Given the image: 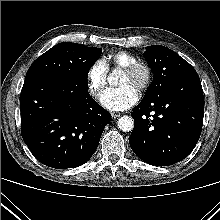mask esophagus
Listing matches in <instances>:
<instances>
[{
  "label": "esophagus",
  "mask_w": 220,
  "mask_h": 220,
  "mask_svg": "<svg viewBox=\"0 0 220 220\" xmlns=\"http://www.w3.org/2000/svg\"><path fill=\"white\" fill-rule=\"evenodd\" d=\"M111 116L113 119H117L121 116V114L120 113H111Z\"/></svg>",
  "instance_id": "34e87169"
}]
</instances>
